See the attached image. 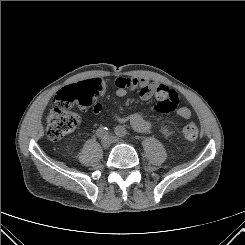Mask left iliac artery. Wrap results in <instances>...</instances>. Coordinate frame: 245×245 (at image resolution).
<instances>
[{"instance_id": "left-iliac-artery-1", "label": "left iliac artery", "mask_w": 245, "mask_h": 245, "mask_svg": "<svg viewBox=\"0 0 245 245\" xmlns=\"http://www.w3.org/2000/svg\"><path fill=\"white\" fill-rule=\"evenodd\" d=\"M115 134L120 137H125L127 135V130L122 126H118L115 128Z\"/></svg>"}]
</instances>
